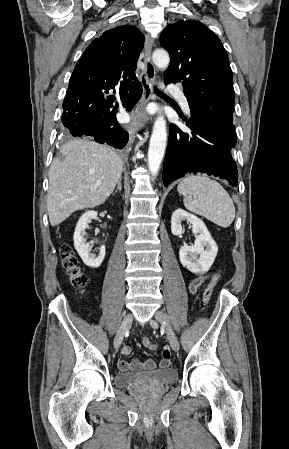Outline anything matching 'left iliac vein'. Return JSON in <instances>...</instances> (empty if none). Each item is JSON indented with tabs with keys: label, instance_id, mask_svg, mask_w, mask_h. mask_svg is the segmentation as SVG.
I'll use <instances>...</instances> for the list:
<instances>
[{
	"label": "left iliac vein",
	"instance_id": "obj_1",
	"mask_svg": "<svg viewBox=\"0 0 289 449\" xmlns=\"http://www.w3.org/2000/svg\"><path fill=\"white\" fill-rule=\"evenodd\" d=\"M154 316L155 319L165 327L171 348L175 352L178 351L180 348L179 342L170 324L168 323L166 315L162 311H156ZM150 325L153 328H157V323L154 320H150Z\"/></svg>",
	"mask_w": 289,
	"mask_h": 449
}]
</instances>
